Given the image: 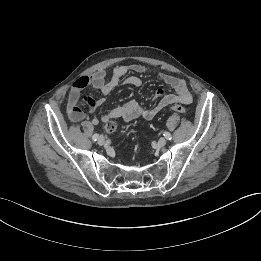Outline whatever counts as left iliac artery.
Here are the masks:
<instances>
[{"label": "left iliac artery", "instance_id": "obj_1", "mask_svg": "<svg viewBox=\"0 0 261 261\" xmlns=\"http://www.w3.org/2000/svg\"><path fill=\"white\" fill-rule=\"evenodd\" d=\"M164 137L166 138V139H168V140H171L172 139V136H171V134L169 133V132H164Z\"/></svg>", "mask_w": 261, "mask_h": 261}]
</instances>
